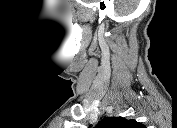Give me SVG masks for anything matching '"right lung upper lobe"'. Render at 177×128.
I'll use <instances>...</instances> for the list:
<instances>
[{"label": "right lung upper lobe", "instance_id": "obj_1", "mask_svg": "<svg viewBox=\"0 0 177 128\" xmlns=\"http://www.w3.org/2000/svg\"><path fill=\"white\" fill-rule=\"evenodd\" d=\"M98 128H144V125L136 122L133 119H125L121 117H107L101 120Z\"/></svg>", "mask_w": 177, "mask_h": 128}]
</instances>
